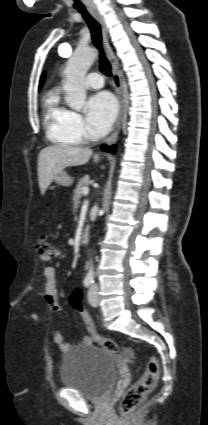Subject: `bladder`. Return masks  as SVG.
Segmentation results:
<instances>
[{
    "instance_id": "31cf9c89",
    "label": "bladder",
    "mask_w": 208,
    "mask_h": 425,
    "mask_svg": "<svg viewBox=\"0 0 208 425\" xmlns=\"http://www.w3.org/2000/svg\"><path fill=\"white\" fill-rule=\"evenodd\" d=\"M117 378L112 354L98 347H79L63 358L62 384L87 400H102L111 392Z\"/></svg>"
}]
</instances>
